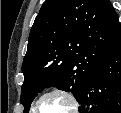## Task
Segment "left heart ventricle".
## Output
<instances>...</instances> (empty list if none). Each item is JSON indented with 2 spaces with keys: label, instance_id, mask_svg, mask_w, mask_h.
<instances>
[{
  "label": "left heart ventricle",
  "instance_id": "1",
  "mask_svg": "<svg viewBox=\"0 0 121 113\" xmlns=\"http://www.w3.org/2000/svg\"><path fill=\"white\" fill-rule=\"evenodd\" d=\"M70 110V104L59 95L45 98L38 107V113H63Z\"/></svg>",
  "mask_w": 121,
  "mask_h": 113
}]
</instances>
